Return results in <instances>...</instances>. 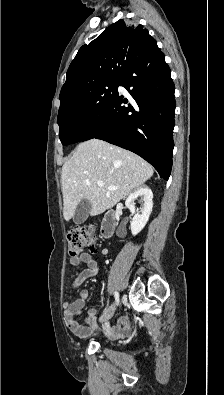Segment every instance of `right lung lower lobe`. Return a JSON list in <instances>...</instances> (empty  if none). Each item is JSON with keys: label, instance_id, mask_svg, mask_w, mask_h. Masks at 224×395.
I'll list each match as a JSON object with an SVG mask.
<instances>
[{"label": "right lung lower lobe", "instance_id": "1", "mask_svg": "<svg viewBox=\"0 0 224 395\" xmlns=\"http://www.w3.org/2000/svg\"><path fill=\"white\" fill-rule=\"evenodd\" d=\"M119 85L129 92V101L117 93L81 141L97 138L128 149L168 180L174 147L175 88L157 43L131 65Z\"/></svg>", "mask_w": 224, "mask_h": 395}]
</instances>
